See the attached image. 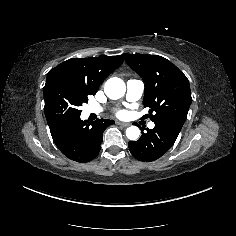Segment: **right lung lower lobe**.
<instances>
[{
	"mask_svg": "<svg viewBox=\"0 0 236 236\" xmlns=\"http://www.w3.org/2000/svg\"><path fill=\"white\" fill-rule=\"evenodd\" d=\"M112 120L97 119L94 122L82 121L79 117L64 125L51 129V135L58 149L69 159L76 162H89L100 151L103 132Z\"/></svg>",
	"mask_w": 236,
	"mask_h": 236,
	"instance_id": "right-lung-lower-lobe-1",
	"label": "right lung lower lobe"
}]
</instances>
